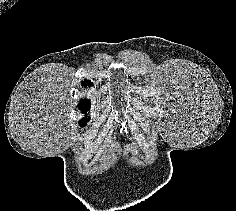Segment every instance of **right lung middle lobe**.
I'll use <instances>...</instances> for the list:
<instances>
[{
	"instance_id": "dd1d6c3e",
	"label": "right lung middle lobe",
	"mask_w": 236,
	"mask_h": 211,
	"mask_svg": "<svg viewBox=\"0 0 236 211\" xmlns=\"http://www.w3.org/2000/svg\"><path fill=\"white\" fill-rule=\"evenodd\" d=\"M86 122H87V118H84L83 120H81L79 122L80 126H85L86 125Z\"/></svg>"
}]
</instances>
